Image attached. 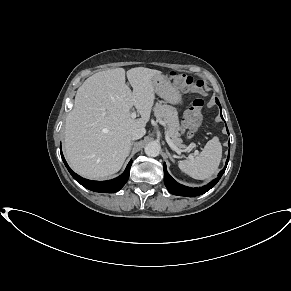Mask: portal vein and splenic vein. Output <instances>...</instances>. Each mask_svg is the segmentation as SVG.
<instances>
[{
	"label": "portal vein and splenic vein",
	"mask_w": 291,
	"mask_h": 291,
	"mask_svg": "<svg viewBox=\"0 0 291 291\" xmlns=\"http://www.w3.org/2000/svg\"><path fill=\"white\" fill-rule=\"evenodd\" d=\"M131 118H136V112H132L131 113ZM162 125H164L165 126V122L164 121H159ZM165 139H166V141H167V143H168V145L170 146V148L173 150V151H175L176 153H178V154H180L181 152H184V151H186V150H182V149H179L178 147H176L174 144H173V142L171 141V139H170V137H169V135H168V131H165ZM195 154H197V152H195Z\"/></svg>",
	"instance_id": "portal-vein-and-splenic-vein-1"
}]
</instances>
